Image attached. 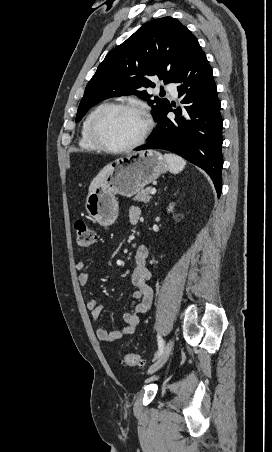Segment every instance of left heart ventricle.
I'll return each mask as SVG.
<instances>
[{
    "label": "left heart ventricle",
    "instance_id": "obj_1",
    "mask_svg": "<svg viewBox=\"0 0 272 452\" xmlns=\"http://www.w3.org/2000/svg\"><path fill=\"white\" fill-rule=\"evenodd\" d=\"M101 137L113 146H123L133 142L143 129L142 119L126 110H109L98 121Z\"/></svg>",
    "mask_w": 272,
    "mask_h": 452
}]
</instances>
